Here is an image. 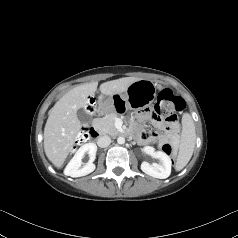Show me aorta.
Returning <instances> with one entry per match:
<instances>
[{
	"label": "aorta",
	"instance_id": "obj_1",
	"mask_svg": "<svg viewBox=\"0 0 238 238\" xmlns=\"http://www.w3.org/2000/svg\"><path fill=\"white\" fill-rule=\"evenodd\" d=\"M117 142H118V144H124L125 143V138L120 136V137L117 138Z\"/></svg>",
	"mask_w": 238,
	"mask_h": 238
}]
</instances>
